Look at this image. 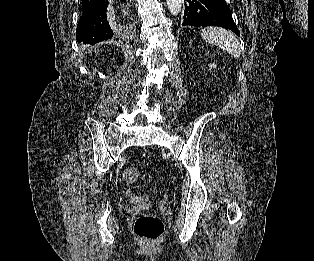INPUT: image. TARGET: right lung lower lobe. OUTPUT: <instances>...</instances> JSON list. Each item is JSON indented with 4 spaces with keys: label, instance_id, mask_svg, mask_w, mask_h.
<instances>
[{
    "label": "right lung lower lobe",
    "instance_id": "right-lung-lower-lobe-1",
    "mask_svg": "<svg viewBox=\"0 0 314 261\" xmlns=\"http://www.w3.org/2000/svg\"><path fill=\"white\" fill-rule=\"evenodd\" d=\"M108 0H82V16L77 25L78 42L95 44L113 37L107 20Z\"/></svg>",
    "mask_w": 314,
    "mask_h": 261
}]
</instances>
